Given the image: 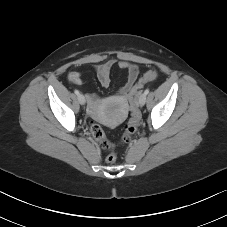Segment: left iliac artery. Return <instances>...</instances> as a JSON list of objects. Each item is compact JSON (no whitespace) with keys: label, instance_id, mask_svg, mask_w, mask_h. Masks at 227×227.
<instances>
[{"label":"left iliac artery","instance_id":"1","mask_svg":"<svg viewBox=\"0 0 227 227\" xmlns=\"http://www.w3.org/2000/svg\"><path fill=\"white\" fill-rule=\"evenodd\" d=\"M148 93H149V89H146V90L144 91V94L147 95Z\"/></svg>","mask_w":227,"mask_h":227}]
</instances>
